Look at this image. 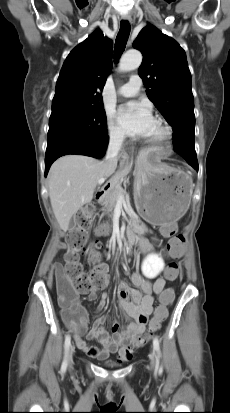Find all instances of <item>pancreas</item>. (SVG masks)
<instances>
[{"label":"pancreas","mask_w":230,"mask_h":413,"mask_svg":"<svg viewBox=\"0 0 230 413\" xmlns=\"http://www.w3.org/2000/svg\"><path fill=\"white\" fill-rule=\"evenodd\" d=\"M120 195L124 196L125 202L129 204L126 191L120 186V184H115L101 199V204L104 206L107 213H109L110 217H112L113 209L115 208ZM130 224L133 227V230L137 233H141L144 228V225L138 216L133 213L130 214Z\"/></svg>","instance_id":"pancreas-1"}]
</instances>
